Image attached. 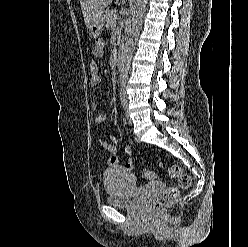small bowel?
Masks as SVG:
<instances>
[{
  "instance_id": "1",
  "label": "small bowel",
  "mask_w": 248,
  "mask_h": 247,
  "mask_svg": "<svg viewBox=\"0 0 248 247\" xmlns=\"http://www.w3.org/2000/svg\"><path fill=\"white\" fill-rule=\"evenodd\" d=\"M104 41L98 40L92 50L93 58H99L104 54ZM101 83V76L98 73V66L95 61L90 63V85L98 86ZM98 109V103L93 101L91 103V110L96 111ZM106 119V113H99L94 117V121L96 124H101ZM111 143L102 142V146L104 149L111 154V157L108 159V164L111 166H117L119 164V160L116 157L117 153V143L118 139L116 136H110ZM125 153L128 156L126 163L123 168L131 172L133 170V160L131 158L132 149L130 147H126Z\"/></svg>"
}]
</instances>
